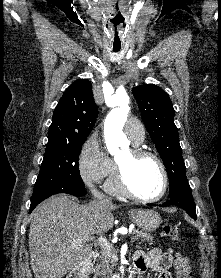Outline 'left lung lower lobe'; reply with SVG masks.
<instances>
[{"mask_svg": "<svg viewBox=\"0 0 221 278\" xmlns=\"http://www.w3.org/2000/svg\"><path fill=\"white\" fill-rule=\"evenodd\" d=\"M148 205L156 206L155 204ZM169 205H176L183 208L192 218L196 220L197 216L195 210V203L192 197L191 190H183L159 206L165 207Z\"/></svg>", "mask_w": 221, "mask_h": 278, "instance_id": "left-lung-lower-lobe-1", "label": "left lung lower lobe"}]
</instances>
